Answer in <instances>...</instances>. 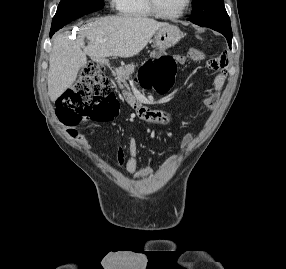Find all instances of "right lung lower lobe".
I'll list each match as a JSON object with an SVG mask.
<instances>
[{
    "label": "right lung lower lobe",
    "instance_id": "obj_1",
    "mask_svg": "<svg viewBox=\"0 0 286 269\" xmlns=\"http://www.w3.org/2000/svg\"><path fill=\"white\" fill-rule=\"evenodd\" d=\"M57 30H51L50 31V37H52V35L56 32Z\"/></svg>",
    "mask_w": 286,
    "mask_h": 269
}]
</instances>
